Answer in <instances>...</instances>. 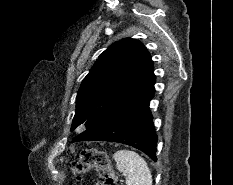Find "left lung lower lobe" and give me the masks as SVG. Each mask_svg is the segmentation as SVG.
<instances>
[{
  "label": "left lung lower lobe",
  "mask_w": 233,
  "mask_h": 185,
  "mask_svg": "<svg viewBox=\"0 0 233 185\" xmlns=\"http://www.w3.org/2000/svg\"><path fill=\"white\" fill-rule=\"evenodd\" d=\"M155 75L150 71L126 90L104 117L73 141H111L137 148L157 161V135L149 103L153 98Z\"/></svg>",
  "instance_id": "obj_1"
}]
</instances>
